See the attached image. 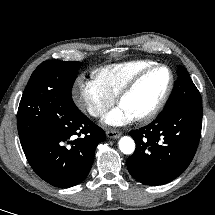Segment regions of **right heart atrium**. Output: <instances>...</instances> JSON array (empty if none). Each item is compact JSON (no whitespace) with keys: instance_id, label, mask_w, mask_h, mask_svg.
<instances>
[{"instance_id":"right-heart-atrium-1","label":"right heart atrium","mask_w":215,"mask_h":215,"mask_svg":"<svg viewBox=\"0 0 215 215\" xmlns=\"http://www.w3.org/2000/svg\"><path fill=\"white\" fill-rule=\"evenodd\" d=\"M72 99L78 109L99 118L114 104L115 96L102 89L94 80L79 77L72 88Z\"/></svg>"}]
</instances>
